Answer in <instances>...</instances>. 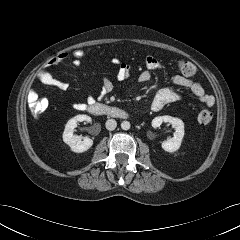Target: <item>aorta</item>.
Here are the masks:
<instances>
[{
	"label": "aorta",
	"instance_id": "1",
	"mask_svg": "<svg viewBox=\"0 0 240 240\" xmlns=\"http://www.w3.org/2000/svg\"><path fill=\"white\" fill-rule=\"evenodd\" d=\"M130 122L129 121H123L122 123H121V128L123 129V130H129L130 129Z\"/></svg>",
	"mask_w": 240,
	"mask_h": 240
}]
</instances>
